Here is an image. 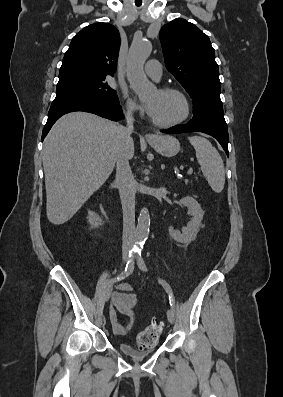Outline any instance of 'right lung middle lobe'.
Wrapping results in <instances>:
<instances>
[{
  "instance_id": "1",
  "label": "right lung middle lobe",
  "mask_w": 283,
  "mask_h": 397,
  "mask_svg": "<svg viewBox=\"0 0 283 397\" xmlns=\"http://www.w3.org/2000/svg\"><path fill=\"white\" fill-rule=\"evenodd\" d=\"M82 97L107 104H119L115 90L107 82V76L82 73H65L59 75L56 98Z\"/></svg>"
}]
</instances>
